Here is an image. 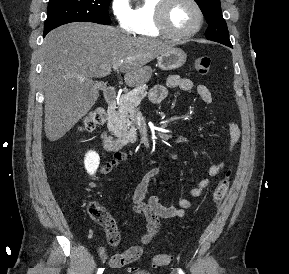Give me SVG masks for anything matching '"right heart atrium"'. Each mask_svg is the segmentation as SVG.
Wrapping results in <instances>:
<instances>
[{"instance_id":"1","label":"right heart atrium","mask_w":289,"mask_h":274,"mask_svg":"<svg viewBox=\"0 0 289 274\" xmlns=\"http://www.w3.org/2000/svg\"><path fill=\"white\" fill-rule=\"evenodd\" d=\"M110 9L118 27L125 32H132L133 15L129 0H111Z\"/></svg>"}]
</instances>
